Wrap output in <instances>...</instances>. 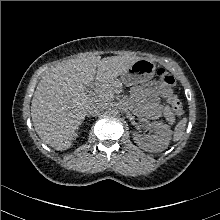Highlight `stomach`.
Returning a JSON list of instances; mask_svg holds the SVG:
<instances>
[{"label":"stomach","mask_w":220,"mask_h":220,"mask_svg":"<svg viewBox=\"0 0 220 220\" xmlns=\"http://www.w3.org/2000/svg\"><path fill=\"white\" fill-rule=\"evenodd\" d=\"M155 71L154 62L148 59H140L121 75V80L127 86L146 83L154 77Z\"/></svg>","instance_id":"stomach-1"}]
</instances>
